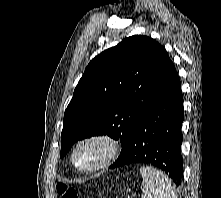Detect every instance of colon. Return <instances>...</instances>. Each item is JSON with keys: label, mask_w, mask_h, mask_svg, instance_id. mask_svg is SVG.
<instances>
[{"label": "colon", "mask_w": 221, "mask_h": 198, "mask_svg": "<svg viewBox=\"0 0 221 198\" xmlns=\"http://www.w3.org/2000/svg\"><path fill=\"white\" fill-rule=\"evenodd\" d=\"M57 193L60 198H79L77 191L73 187L63 183L57 185Z\"/></svg>", "instance_id": "colon-1"}]
</instances>
